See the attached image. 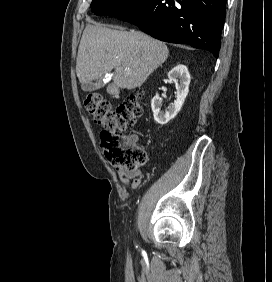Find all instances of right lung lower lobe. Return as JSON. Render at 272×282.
Wrapping results in <instances>:
<instances>
[{
  "label": "right lung lower lobe",
  "mask_w": 272,
  "mask_h": 282,
  "mask_svg": "<svg viewBox=\"0 0 272 282\" xmlns=\"http://www.w3.org/2000/svg\"><path fill=\"white\" fill-rule=\"evenodd\" d=\"M225 6L226 0H138L112 16L159 40L187 43L217 58Z\"/></svg>",
  "instance_id": "obj_1"
}]
</instances>
